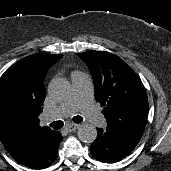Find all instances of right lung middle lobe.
Listing matches in <instances>:
<instances>
[{"mask_svg": "<svg viewBox=\"0 0 171 171\" xmlns=\"http://www.w3.org/2000/svg\"><path fill=\"white\" fill-rule=\"evenodd\" d=\"M0 103L6 109H12L15 106L14 90L11 87L4 85L0 89Z\"/></svg>", "mask_w": 171, "mask_h": 171, "instance_id": "dd1d6c3e", "label": "right lung middle lobe"}]
</instances>
